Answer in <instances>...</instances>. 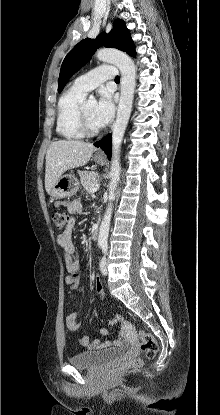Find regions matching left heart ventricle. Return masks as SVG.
<instances>
[{
  "label": "left heart ventricle",
  "instance_id": "1",
  "mask_svg": "<svg viewBox=\"0 0 220 415\" xmlns=\"http://www.w3.org/2000/svg\"><path fill=\"white\" fill-rule=\"evenodd\" d=\"M95 106H96L95 102L86 101V104H85L86 117H87L90 127L93 129L100 127L99 123L96 121L95 116H94Z\"/></svg>",
  "mask_w": 220,
  "mask_h": 415
}]
</instances>
